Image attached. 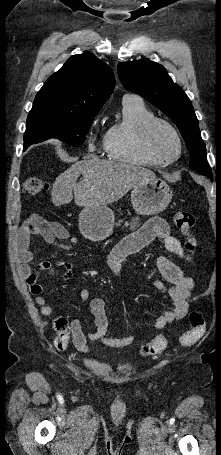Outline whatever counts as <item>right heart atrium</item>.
I'll return each instance as SVG.
<instances>
[{
    "mask_svg": "<svg viewBox=\"0 0 221 455\" xmlns=\"http://www.w3.org/2000/svg\"><path fill=\"white\" fill-rule=\"evenodd\" d=\"M97 123H98V118L93 119V121L90 124L89 135H88V139H87L88 148L92 151L96 150V148H97L96 143H95V135H94V129L97 126Z\"/></svg>",
    "mask_w": 221,
    "mask_h": 455,
    "instance_id": "1",
    "label": "right heart atrium"
}]
</instances>
